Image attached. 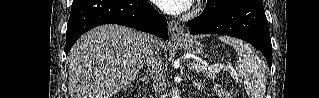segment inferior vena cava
<instances>
[{"instance_id":"obj_1","label":"inferior vena cava","mask_w":319,"mask_h":98,"mask_svg":"<svg viewBox=\"0 0 319 98\" xmlns=\"http://www.w3.org/2000/svg\"><path fill=\"white\" fill-rule=\"evenodd\" d=\"M146 64L153 81L155 96L158 98L165 90V75L162 67L161 41L150 36V42L146 50Z\"/></svg>"}]
</instances>
